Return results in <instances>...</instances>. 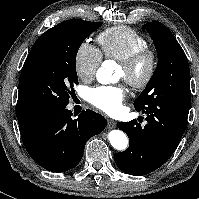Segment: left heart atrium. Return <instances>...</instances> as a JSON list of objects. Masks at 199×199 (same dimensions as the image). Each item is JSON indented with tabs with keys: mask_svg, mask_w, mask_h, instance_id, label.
<instances>
[{
	"mask_svg": "<svg viewBox=\"0 0 199 199\" xmlns=\"http://www.w3.org/2000/svg\"><path fill=\"white\" fill-rule=\"evenodd\" d=\"M125 95L122 87L101 86L89 92V101L105 113L116 115L121 111Z\"/></svg>",
	"mask_w": 199,
	"mask_h": 199,
	"instance_id": "1",
	"label": "left heart atrium"
}]
</instances>
